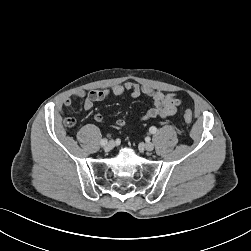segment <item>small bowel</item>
Returning <instances> with one entry per match:
<instances>
[{"mask_svg":"<svg viewBox=\"0 0 251 251\" xmlns=\"http://www.w3.org/2000/svg\"><path fill=\"white\" fill-rule=\"evenodd\" d=\"M129 93L131 97H138L144 94L152 99L153 106L146 110L142 121L149 119H166L174 115L177 108L182 105V101L174 92L163 93L148 85H139L133 81H127L123 84L114 85L111 88L93 89L89 91L76 90L64 101L65 106H71L75 101L83 99L85 110H91L95 102L103 101L110 97L120 96ZM94 119L98 123L104 122V117L100 112L94 113ZM118 127L125 128L127 122L124 119L116 121Z\"/></svg>","mask_w":251,"mask_h":251,"instance_id":"obj_1","label":"small bowel"}]
</instances>
